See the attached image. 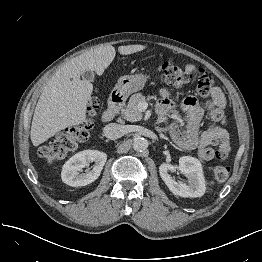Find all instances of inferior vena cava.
I'll use <instances>...</instances> for the list:
<instances>
[{"mask_svg":"<svg viewBox=\"0 0 262 262\" xmlns=\"http://www.w3.org/2000/svg\"><path fill=\"white\" fill-rule=\"evenodd\" d=\"M103 132L106 138L114 140L122 137L125 134L126 130L123 125L110 123L104 127Z\"/></svg>","mask_w":262,"mask_h":262,"instance_id":"obj_1","label":"inferior vena cava"}]
</instances>
